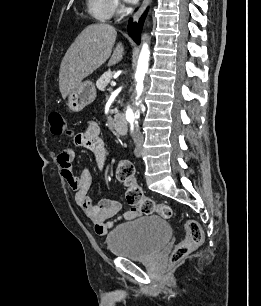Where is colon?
<instances>
[{"instance_id": "colon-1", "label": "colon", "mask_w": 261, "mask_h": 306, "mask_svg": "<svg viewBox=\"0 0 261 306\" xmlns=\"http://www.w3.org/2000/svg\"><path fill=\"white\" fill-rule=\"evenodd\" d=\"M51 132L54 135L62 136L67 133V126L64 117L59 112H52L49 115ZM115 177L126 186L127 202L143 214H157L163 218L172 216V209L167 204L155 203L145 196L142 188L137 184L134 165L128 160H120L115 168ZM203 231L200 224L195 220H188L185 223V237L173 250L170 261L177 263L191 251L201 245Z\"/></svg>"}]
</instances>
